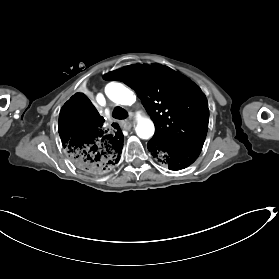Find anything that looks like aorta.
<instances>
[{
    "label": "aorta",
    "instance_id": "aorta-1",
    "mask_svg": "<svg viewBox=\"0 0 279 279\" xmlns=\"http://www.w3.org/2000/svg\"><path fill=\"white\" fill-rule=\"evenodd\" d=\"M105 93L111 101L121 105H132L136 100L134 93L121 83L111 82L107 84ZM154 131L155 127L150 119L138 117L136 126L138 137L149 139L153 136Z\"/></svg>",
    "mask_w": 279,
    "mask_h": 279
}]
</instances>
